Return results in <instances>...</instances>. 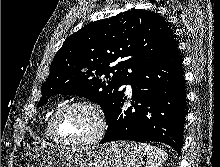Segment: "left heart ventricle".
Here are the masks:
<instances>
[{
	"label": "left heart ventricle",
	"instance_id": "b2bd125f",
	"mask_svg": "<svg viewBox=\"0 0 220 167\" xmlns=\"http://www.w3.org/2000/svg\"><path fill=\"white\" fill-rule=\"evenodd\" d=\"M55 126L59 138L76 140L91 135L96 128V120L88 110L70 107L60 113Z\"/></svg>",
	"mask_w": 220,
	"mask_h": 167
}]
</instances>
